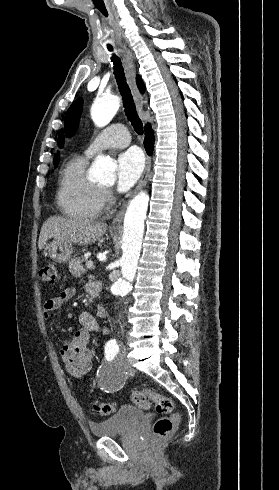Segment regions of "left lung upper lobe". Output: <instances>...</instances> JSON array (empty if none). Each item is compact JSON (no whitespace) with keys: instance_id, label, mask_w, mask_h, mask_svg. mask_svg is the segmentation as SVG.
<instances>
[{"instance_id":"left-lung-upper-lobe-1","label":"left lung upper lobe","mask_w":279,"mask_h":490,"mask_svg":"<svg viewBox=\"0 0 279 490\" xmlns=\"http://www.w3.org/2000/svg\"><path fill=\"white\" fill-rule=\"evenodd\" d=\"M81 111L82 101L81 99H77L72 103L65 116V125L68 135H72L75 133Z\"/></svg>"}]
</instances>
